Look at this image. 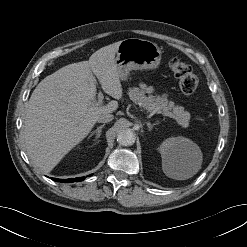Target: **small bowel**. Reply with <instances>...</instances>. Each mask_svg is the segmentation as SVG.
I'll return each mask as SVG.
<instances>
[{
	"label": "small bowel",
	"instance_id": "small-bowel-1",
	"mask_svg": "<svg viewBox=\"0 0 247 247\" xmlns=\"http://www.w3.org/2000/svg\"><path fill=\"white\" fill-rule=\"evenodd\" d=\"M142 87H143V89H144L145 91H147V92H151V90H152L150 87H148V86H146V85H143Z\"/></svg>",
	"mask_w": 247,
	"mask_h": 247
}]
</instances>
